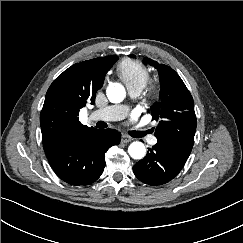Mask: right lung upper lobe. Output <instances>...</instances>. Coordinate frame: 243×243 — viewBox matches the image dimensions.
I'll list each match as a JSON object with an SVG mask.
<instances>
[{"label": "right lung upper lobe", "mask_w": 243, "mask_h": 243, "mask_svg": "<svg viewBox=\"0 0 243 243\" xmlns=\"http://www.w3.org/2000/svg\"><path fill=\"white\" fill-rule=\"evenodd\" d=\"M117 60L116 55L95 58L72 65L49 87L40 115L43 145L67 140L92 131L79 122L78 114L103 85L106 73Z\"/></svg>", "instance_id": "1"}]
</instances>
